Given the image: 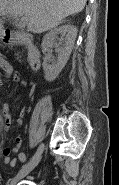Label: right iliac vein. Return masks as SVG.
Here are the masks:
<instances>
[{
    "instance_id": "obj_1",
    "label": "right iliac vein",
    "mask_w": 119,
    "mask_h": 185,
    "mask_svg": "<svg viewBox=\"0 0 119 185\" xmlns=\"http://www.w3.org/2000/svg\"><path fill=\"white\" fill-rule=\"evenodd\" d=\"M44 149V148H43ZM43 150L30 162L25 164L22 169L17 173V175L11 180L9 185H16V183L30 173L40 162Z\"/></svg>"
}]
</instances>
